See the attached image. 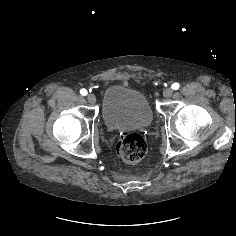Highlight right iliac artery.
Instances as JSON below:
<instances>
[{
	"instance_id": "right-iliac-artery-1",
	"label": "right iliac artery",
	"mask_w": 236,
	"mask_h": 236,
	"mask_svg": "<svg viewBox=\"0 0 236 236\" xmlns=\"http://www.w3.org/2000/svg\"><path fill=\"white\" fill-rule=\"evenodd\" d=\"M87 90L86 89H81L80 90V94L83 95V96H86L87 95Z\"/></svg>"
}]
</instances>
